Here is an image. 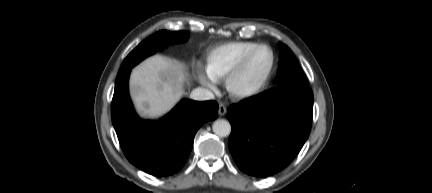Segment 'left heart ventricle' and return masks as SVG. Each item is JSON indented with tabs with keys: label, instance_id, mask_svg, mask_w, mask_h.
<instances>
[{
	"label": "left heart ventricle",
	"instance_id": "1",
	"mask_svg": "<svg viewBox=\"0 0 432 193\" xmlns=\"http://www.w3.org/2000/svg\"><path fill=\"white\" fill-rule=\"evenodd\" d=\"M271 64V53L268 49H261L250 60L247 67L239 76L237 83L242 88H250L259 84Z\"/></svg>",
	"mask_w": 432,
	"mask_h": 193
}]
</instances>
